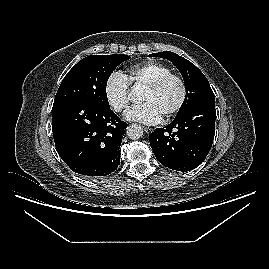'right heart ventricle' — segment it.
Returning <instances> with one entry per match:
<instances>
[{"instance_id":"obj_1","label":"right heart ventricle","mask_w":269,"mask_h":269,"mask_svg":"<svg viewBox=\"0 0 269 269\" xmlns=\"http://www.w3.org/2000/svg\"><path fill=\"white\" fill-rule=\"evenodd\" d=\"M171 72L172 70L168 65L151 60L132 66L128 70L127 80L132 85L147 86Z\"/></svg>"}]
</instances>
